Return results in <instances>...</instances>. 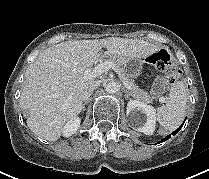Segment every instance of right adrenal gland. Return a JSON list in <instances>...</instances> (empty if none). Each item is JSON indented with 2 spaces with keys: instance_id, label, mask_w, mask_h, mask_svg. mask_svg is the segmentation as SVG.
<instances>
[{
  "instance_id": "1",
  "label": "right adrenal gland",
  "mask_w": 209,
  "mask_h": 179,
  "mask_svg": "<svg viewBox=\"0 0 209 179\" xmlns=\"http://www.w3.org/2000/svg\"><path fill=\"white\" fill-rule=\"evenodd\" d=\"M87 103H88V100L84 102V104H83V110H85V105H87Z\"/></svg>"
}]
</instances>
